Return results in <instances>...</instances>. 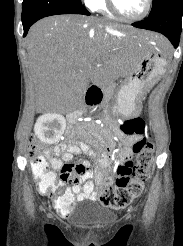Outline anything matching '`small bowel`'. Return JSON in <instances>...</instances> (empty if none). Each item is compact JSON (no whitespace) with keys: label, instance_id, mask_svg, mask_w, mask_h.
<instances>
[{"label":"small bowel","instance_id":"small-bowel-1","mask_svg":"<svg viewBox=\"0 0 183 246\" xmlns=\"http://www.w3.org/2000/svg\"><path fill=\"white\" fill-rule=\"evenodd\" d=\"M115 135L124 144V148L120 152L116 150ZM81 137L85 142L62 143L55 146L52 152L45 151L52 168L60 174L61 178H69V181L72 182L71 189L65 190L60 197L70 200L73 206L76 202L95 201L98 199V195L94 190L95 181L92 177L95 176L96 181L101 182L107 175L111 161L124 163L131 160L134 145L142 139V134L127 135L118 128L113 127V129L83 131L81 132ZM81 153L95 157V169L90 161L86 159L78 164L70 162L72 155ZM61 157L64 161L61 160ZM72 171H75V173H72ZM77 171L83 172L78 173ZM41 193L48 195L47 192L41 191ZM73 206L58 211L62 216L67 217L71 213Z\"/></svg>","mask_w":183,"mask_h":246}]
</instances>
